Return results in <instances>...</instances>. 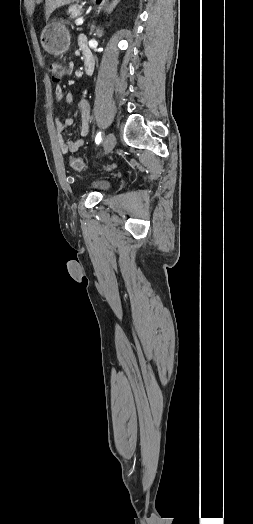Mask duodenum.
Here are the masks:
<instances>
[{
	"mask_svg": "<svg viewBox=\"0 0 253 524\" xmlns=\"http://www.w3.org/2000/svg\"><path fill=\"white\" fill-rule=\"evenodd\" d=\"M85 70L87 71V73H92L94 70V66L89 62H85Z\"/></svg>",
	"mask_w": 253,
	"mask_h": 524,
	"instance_id": "1",
	"label": "duodenum"
}]
</instances>
